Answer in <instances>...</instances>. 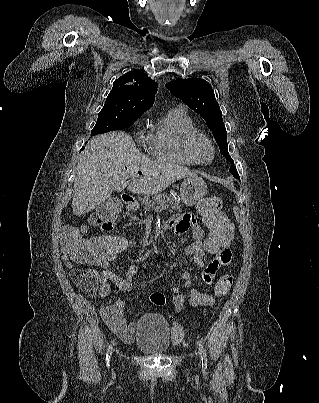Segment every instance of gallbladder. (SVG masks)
Listing matches in <instances>:
<instances>
[{"mask_svg":"<svg viewBox=\"0 0 319 403\" xmlns=\"http://www.w3.org/2000/svg\"><path fill=\"white\" fill-rule=\"evenodd\" d=\"M115 202H117L116 199H110L109 202H107L106 204L103 205V207L108 210H113V206L115 205Z\"/></svg>","mask_w":319,"mask_h":403,"instance_id":"obj_1","label":"gallbladder"}]
</instances>
